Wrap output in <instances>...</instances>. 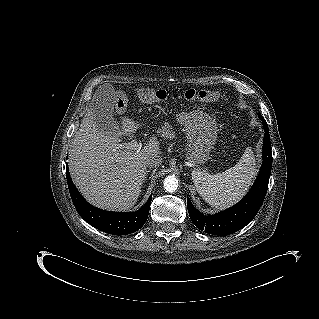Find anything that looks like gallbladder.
Segmentation results:
<instances>
[{
    "label": "gallbladder",
    "instance_id": "1",
    "mask_svg": "<svg viewBox=\"0 0 319 319\" xmlns=\"http://www.w3.org/2000/svg\"><path fill=\"white\" fill-rule=\"evenodd\" d=\"M113 88L110 85L101 87L94 95L91 102V110L100 130L116 131L119 123L113 118Z\"/></svg>",
    "mask_w": 319,
    "mask_h": 319
}]
</instances>
